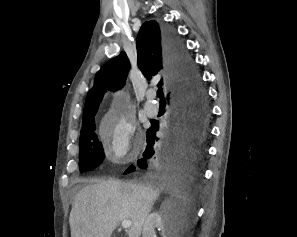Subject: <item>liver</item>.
Wrapping results in <instances>:
<instances>
[{"label": "liver", "instance_id": "6515ba94", "mask_svg": "<svg viewBox=\"0 0 297 237\" xmlns=\"http://www.w3.org/2000/svg\"><path fill=\"white\" fill-rule=\"evenodd\" d=\"M159 194L150 184L107 180L87 185L74 199L69 217L71 237H111L124 220L132 222L128 236L140 237Z\"/></svg>", "mask_w": 297, "mask_h": 237}]
</instances>
